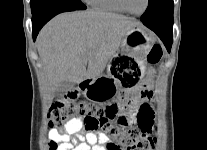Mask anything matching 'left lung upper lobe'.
I'll list each match as a JSON object with an SVG mask.
<instances>
[{
    "label": "left lung upper lobe",
    "mask_w": 207,
    "mask_h": 150,
    "mask_svg": "<svg viewBox=\"0 0 207 150\" xmlns=\"http://www.w3.org/2000/svg\"><path fill=\"white\" fill-rule=\"evenodd\" d=\"M173 0H149L148 8L141 16L142 21L157 20L173 14Z\"/></svg>",
    "instance_id": "1"
}]
</instances>
